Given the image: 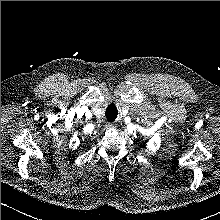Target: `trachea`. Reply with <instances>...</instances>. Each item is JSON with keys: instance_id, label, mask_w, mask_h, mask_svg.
<instances>
[{"instance_id": "obj_1", "label": "trachea", "mask_w": 220, "mask_h": 220, "mask_svg": "<svg viewBox=\"0 0 220 220\" xmlns=\"http://www.w3.org/2000/svg\"><path fill=\"white\" fill-rule=\"evenodd\" d=\"M117 117V109L114 107V108H109L106 110V118L109 120V121H113L115 120Z\"/></svg>"}]
</instances>
